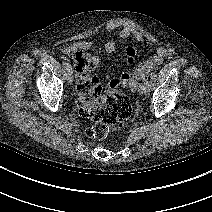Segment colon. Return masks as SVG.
Returning a JSON list of instances; mask_svg holds the SVG:
<instances>
[{
	"label": "colon",
	"mask_w": 212,
	"mask_h": 212,
	"mask_svg": "<svg viewBox=\"0 0 212 212\" xmlns=\"http://www.w3.org/2000/svg\"><path fill=\"white\" fill-rule=\"evenodd\" d=\"M77 77L79 113L93 122L86 134L95 140H104L115 132L132 114L129 99L118 86L138 87L142 83L135 74L126 73L113 80L103 92L95 74L98 58L94 54L76 51L73 55Z\"/></svg>",
	"instance_id": "colon-1"
}]
</instances>
